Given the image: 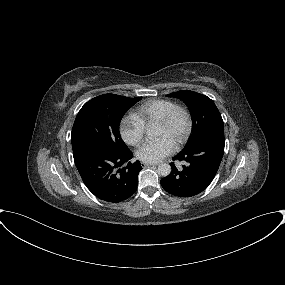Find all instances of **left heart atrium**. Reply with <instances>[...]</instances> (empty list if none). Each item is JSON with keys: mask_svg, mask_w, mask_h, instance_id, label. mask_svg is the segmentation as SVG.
I'll return each mask as SVG.
<instances>
[{"mask_svg": "<svg viewBox=\"0 0 285 285\" xmlns=\"http://www.w3.org/2000/svg\"><path fill=\"white\" fill-rule=\"evenodd\" d=\"M176 144L167 136L145 143L137 152L136 157L145 163H157L170 155Z\"/></svg>", "mask_w": 285, "mask_h": 285, "instance_id": "39dd6f15", "label": "left heart atrium"}]
</instances>
